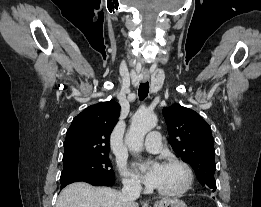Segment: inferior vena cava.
I'll list each match as a JSON object with an SVG mask.
<instances>
[{
    "mask_svg": "<svg viewBox=\"0 0 261 207\" xmlns=\"http://www.w3.org/2000/svg\"><path fill=\"white\" fill-rule=\"evenodd\" d=\"M141 192V185L137 181L124 182L122 192L120 193V199L124 203L135 201L139 198Z\"/></svg>",
    "mask_w": 261,
    "mask_h": 207,
    "instance_id": "obj_1",
    "label": "inferior vena cava"
}]
</instances>
